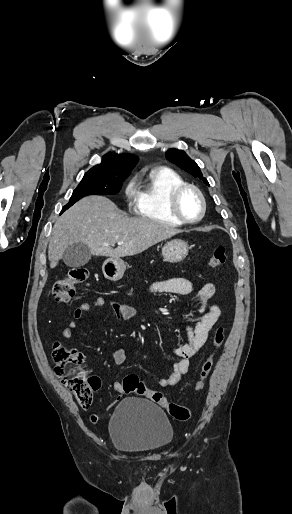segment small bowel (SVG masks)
I'll return each mask as SVG.
<instances>
[{"label": "small bowel", "instance_id": "obj_1", "mask_svg": "<svg viewBox=\"0 0 292 514\" xmlns=\"http://www.w3.org/2000/svg\"><path fill=\"white\" fill-rule=\"evenodd\" d=\"M151 293H164L175 295H192L189 306L196 308L200 314V320L196 324H185L184 330L187 335V343L174 349V353L180 359L172 365L169 373L158 380V385L167 388L176 385L180 379L186 375L190 368V360L197 354L205 343L209 331L217 323L221 316V308L214 300L216 286L213 283H205L196 288L195 284L187 278H169L152 283L149 287ZM107 304L104 297L98 296L92 301H83L77 305L73 313V319L63 330L62 336L71 339L74 331L84 314L93 308H102ZM110 306L118 318L130 320L139 316L136 307L118 301H110ZM113 358L117 365H122L126 360L125 351L122 348L113 350ZM113 388L119 392L111 401L116 406L124 396L122 384L119 381L113 383ZM112 409V406H107Z\"/></svg>", "mask_w": 292, "mask_h": 514}]
</instances>
